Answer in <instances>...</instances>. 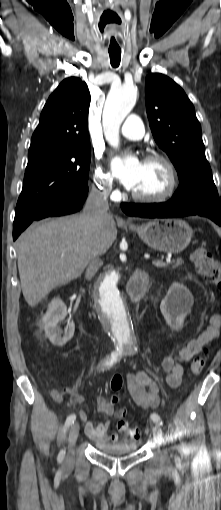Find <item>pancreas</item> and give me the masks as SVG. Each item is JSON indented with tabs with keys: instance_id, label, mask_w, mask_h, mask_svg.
Masks as SVG:
<instances>
[{
	"instance_id": "cf45deb5",
	"label": "pancreas",
	"mask_w": 221,
	"mask_h": 510,
	"mask_svg": "<svg viewBox=\"0 0 221 510\" xmlns=\"http://www.w3.org/2000/svg\"><path fill=\"white\" fill-rule=\"evenodd\" d=\"M183 264V260L182 259H177L176 261H173V264H172V268H176L180 265ZM167 268V266H165Z\"/></svg>"
}]
</instances>
